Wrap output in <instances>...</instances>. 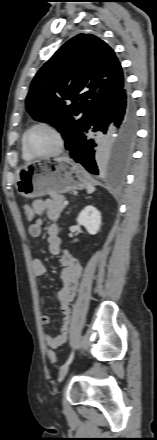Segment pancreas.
Here are the masks:
<instances>
[{
    "label": "pancreas",
    "instance_id": "obj_1",
    "mask_svg": "<svg viewBox=\"0 0 157 440\" xmlns=\"http://www.w3.org/2000/svg\"><path fill=\"white\" fill-rule=\"evenodd\" d=\"M51 198L53 199V207L58 212L61 213L63 209L65 208L64 201L65 197L62 195H51Z\"/></svg>",
    "mask_w": 157,
    "mask_h": 440
}]
</instances>
